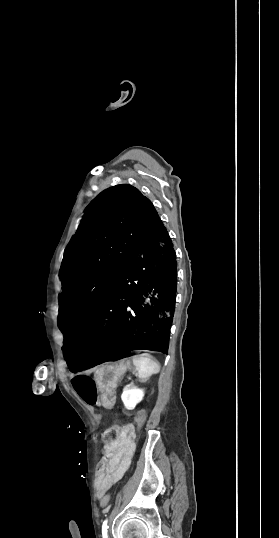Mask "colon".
<instances>
[{
    "instance_id": "5ec220e1",
    "label": "colon",
    "mask_w": 279,
    "mask_h": 538,
    "mask_svg": "<svg viewBox=\"0 0 279 538\" xmlns=\"http://www.w3.org/2000/svg\"><path fill=\"white\" fill-rule=\"evenodd\" d=\"M118 439H119V428L117 425H114L103 432L102 440L105 446H109L115 443ZM107 460H108V454L104 450L101 458L99 459L97 463V468H96V480L97 481H99L104 476ZM109 502H110L109 495H104L101 499V506L107 507L109 505Z\"/></svg>"
}]
</instances>
